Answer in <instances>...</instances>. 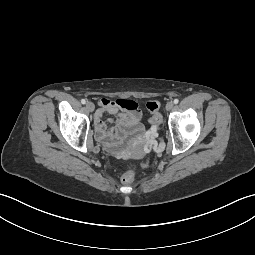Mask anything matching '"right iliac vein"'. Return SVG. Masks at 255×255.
I'll list each match as a JSON object with an SVG mask.
<instances>
[{
    "label": "right iliac vein",
    "mask_w": 255,
    "mask_h": 255,
    "mask_svg": "<svg viewBox=\"0 0 255 255\" xmlns=\"http://www.w3.org/2000/svg\"><path fill=\"white\" fill-rule=\"evenodd\" d=\"M86 109H87L89 112H93L94 109H95V106H94V104H93L92 102L88 101V102L86 103Z\"/></svg>",
    "instance_id": "right-iliac-vein-1"
}]
</instances>
